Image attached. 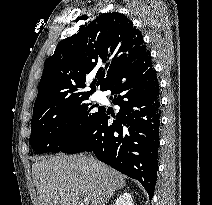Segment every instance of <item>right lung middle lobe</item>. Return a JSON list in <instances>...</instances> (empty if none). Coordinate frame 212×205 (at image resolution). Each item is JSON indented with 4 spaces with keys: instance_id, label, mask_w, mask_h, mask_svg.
<instances>
[{
    "instance_id": "right-lung-middle-lobe-1",
    "label": "right lung middle lobe",
    "mask_w": 212,
    "mask_h": 205,
    "mask_svg": "<svg viewBox=\"0 0 212 205\" xmlns=\"http://www.w3.org/2000/svg\"><path fill=\"white\" fill-rule=\"evenodd\" d=\"M88 98L33 110L30 136L33 150L38 154L60 152L89 130L103 109L99 107L93 112L95 106L86 103Z\"/></svg>"
}]
</instances>
